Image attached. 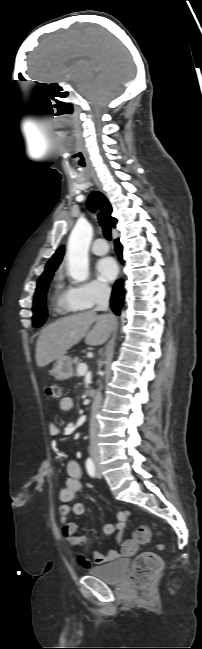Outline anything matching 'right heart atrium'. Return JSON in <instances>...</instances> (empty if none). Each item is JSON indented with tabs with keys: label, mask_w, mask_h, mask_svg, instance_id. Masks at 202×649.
Masks as SVG:
<instances>
[{
	"label": "right heart atrium",
	"mask_w": 202,
	"mask_h": 649,
	"mask_svg": "<svg viewBox=\"0 0 202 649\" xmlns=\"http://www.w3.org/2000/svg\"><path fill=\"white\" fill-rule=\"evenodd\" d=\"M108 295L109 287L107 284L93 280L71 287L67 300L77 309H88L106 299Z\"/></svg>",
	"instance_id": "d8ad5b80"
}]
</instances>
